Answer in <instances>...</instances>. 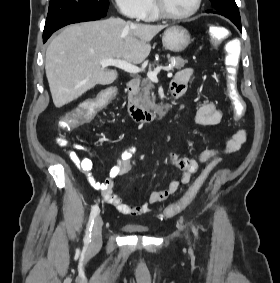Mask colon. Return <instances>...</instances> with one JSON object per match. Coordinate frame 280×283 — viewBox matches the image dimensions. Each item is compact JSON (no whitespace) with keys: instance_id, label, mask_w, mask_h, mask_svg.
Listing matches in <instances>:
<instances>
[{"instance_id":"1","label":"colon","mask_w":280,"mask_h":283,"mask_svg":"<svg viewBox=\"0 0 280 283\" xmlns=\"http://www.w3.org/2000/svg\"><path fill=\"white\" fill-rule=\"evenodd\" d=\"M208 32L214 44L222 42L230 35L229 29L222 25H210ZM229 41L226 46L225 56L227 87L234 107V116L238 121L242 119L246 111V104L237 91L235 81L238 55H242V50H240L241 42H239V37H230ZM114 91V87H107L106 91L97 98L86 102L82 107H78L77 110H69L68 114H63V119L67 120L66 122H58L59 132H74V127H80L81 124H90L91 120L97 119V112L104 111V108L99 106L105 104L111 98ZM57 141L61 145L66 144V141L60 138ZM215 162L212 161L207 165L178 203L170 205L163 210L159 215L161 219H170L176 216L193 201L206 180L208 173L215 165Z\"/></svg>"}]
</instances>
